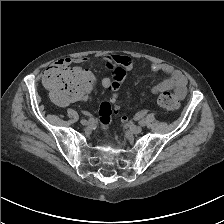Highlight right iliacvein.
<instances>
[{
    "mask_svg": "<svg viewBox=\"0 0 224 224\" xmlns=\"http://www.w3.org/2000/svg\"><path fill=\"white\" fill-rule=\"evenodd\" d=\"M81 124L84 125V126H87V125H90L91 123L85 119H82L81 120Z\"/></svg>",
    "mask_w": 224,
    "mask_h": 224,
    "instance_id": "obj_1",
    "label": "right iliac vein"
}]
</instances>
